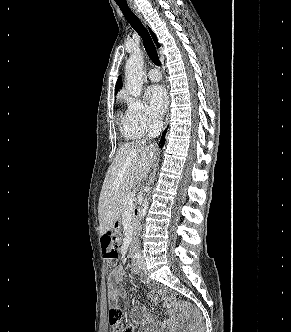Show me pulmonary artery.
<instances>
[{
    "label": "pulmonary artery",
    "instance_id": "pulmonary-artery-1",
    "mask_svg": "<svg viewBox=\"0 0 291 332\" xmlns=\"http://www.w3.org/2000/svg\"><path fill=\"white\" fill-rule=\"evenodd\" d=\"M147 76L153 82H158L161 80V74L157 69L149 70Z\"/></svg>",
    "mask_w": 291,
    "mask_h": 332
}]
</instances>
